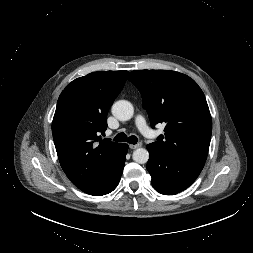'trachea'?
I'll return each mask as SVG.
<instances>
[{
    "label": "trachea",
    "mask_w": 253,
    "mask_h": 253,
    "mask_svg": "<svg viewBox=\"0 0 253 253\" xmlns=\"http://www.w3.org/2000/svg\"><path fill=\"white\" fill-rule=\"evenodd\" d=\"M114 141L118 142H128L130 144H136L138 139L136 136L132 135L127 137L125 133H119L114 137Z\"/></svg>",
    "instance_id": "1"
}]
</instances>
